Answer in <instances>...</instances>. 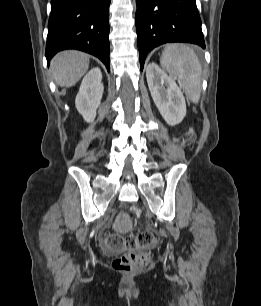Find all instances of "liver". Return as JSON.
Instances as JSON below:
<instances>
[{
  "label": "liver",
  "instance_id": "1",
  "mask_svg": "<svg viewBox=\"0 0 261 306\" xmlns=\"http://www.w3.org/2000/svg\"><path fill=\"white\" fill-rule=\"evenodd\" d=\"M89 56L79 51H64L51 62V72L57 85L71 87L86 73Z\"/></svg>",
  "mask_w": 261,
  "mask_h": 306
}]
</instances>
